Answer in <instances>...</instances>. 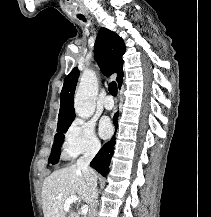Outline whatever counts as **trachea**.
<instances>
[{
    "label": "trachea",
    "mask_w": 211,
    "mask_h": 217,
    "mask_svg": "<svg viewBox=\"0 0 211 217\" xmlns=\"http://www.w3.org/2000/svg\"><path fill=\"white\" fill-rule=\"evenodd\" d=\"M80 19L83 20V21H86L84 17H81ZM108 90H109L111 95L116 96L117 95V84H116V82H114V81L111 82L109 84Z\"/></svg>",
    "instance_id": "1"
}]
</instances>
